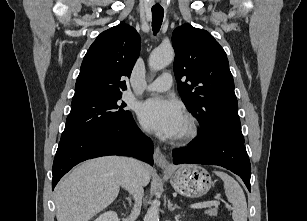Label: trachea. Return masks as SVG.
<instances>
[{"instance_id": "1", "label": "trachea", "mask_w": 307, "mask_h": 221, "mask_svg": "<svg viewBox=\"0 0 307 221\" xmlns=\"http://www.w3.org/2000/svg\"><path fill=\"white\" fill-rule=\"evenodd\" d=\"M163 16H164L163 9L152 8V29L155 34L158 33L160 30L163 21Z\"/></svg>"}]
</instances>
